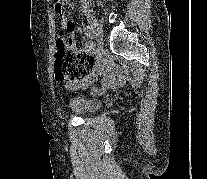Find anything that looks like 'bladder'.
<instances>
[{
  "instance_id": "31cf9c89",
  "label": "bladder",
  "mask_w": 207,
  "mask_h": 179,
  "mask_svg": "<svg viewBox=\"0 0 207 179\" xmlns=\"http://www.w3.org/2000/svg\"><path fill=\"white\" fill-rule=\"evenodd\" d=\"M101 103L99 100L81 94L72 98L69 103V112L76 115H87L94 113L100 109Z\"/></svg>"
}]
</instances>
